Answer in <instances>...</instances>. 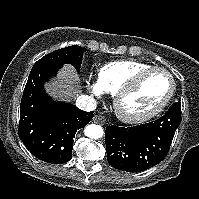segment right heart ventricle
I'll list each match as a JSON object with an SVG mask.
<instances>
[{"label":"right heart ventricle","mask_w":199,"mask_h":199,"mask_svg":"<svg viewBox=\"0 0 199 199\" xmlns=\"http://www.w3.org/2000/svg\"><path fill=\"white\" fill-rule=\"evenodd\" d=\"M148 67L152 66L135 60L110 62L99 69L98 82L105 92L114 94L136 72Z\"/></svg>","instance_id":"1"}]
</instances>
